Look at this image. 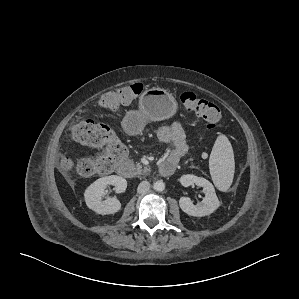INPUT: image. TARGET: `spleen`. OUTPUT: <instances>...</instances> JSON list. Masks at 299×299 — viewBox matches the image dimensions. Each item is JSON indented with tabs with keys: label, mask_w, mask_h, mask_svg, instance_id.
<instances>
[{
	"label": "spleen",
	"mask_w": 299,
	"mask_h": 299,
	"mask_svg": "<svg viewBox=\"0 0 299 299\" xmlns=\"http://www.w3.org/2000/svg\"><path fill=\"white\" fill-rule=\"evenodd\" d=\"M209 169L213 182L222 191L230 187L235 170L234 153L225 135H219L209 158Z\"/></svg>",
	"instance_id": "spleen-1"
}]
</instances>
